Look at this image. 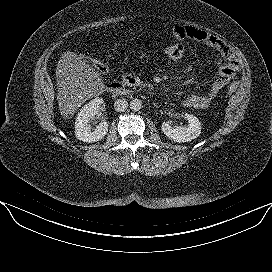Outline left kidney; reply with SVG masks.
Listing matches in <instances>:
<instances>
[{"label":"left kidney","instance_id":"obj_1","mask_svg":"<svg viewBox=\"0 0 272 272\" xmlns=\"http://www.w3.org/2000/svg\"><path fill=\"white\" fill-rule=\"evenodd\" d=\"M184 118L188 120L187 126L172 127L170 122H163L161 126L162 132L174 142H190L197 138L201 133V123L197 117L192 114H184Z\"/></svg>","mask_w":272,"mask_h":272}]
</instances>
